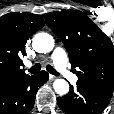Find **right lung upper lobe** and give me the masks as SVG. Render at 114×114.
Listing matches in <instances>:
<instances>
[{
	"label": "right lung upper lobe",
	"mask_w": 114,
	"mask_h": 114,
	"mask_svg": "<svg viewBox=\"0 0 114 114\" xmlns=\"http://www.w3.org/2000/svg\"><path fill=\"white\" fill-rule=\"evenodd\" d=\"M44 26L40 15L32 13H8L0 17V86L25 75L20 69L29 37Z\"/></svg>",
	"instance_id": "1"
}]
</instances>
